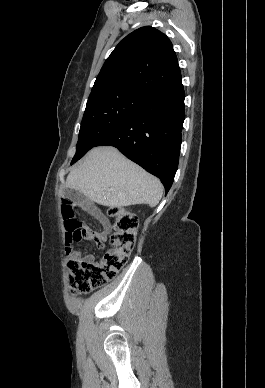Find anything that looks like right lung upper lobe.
<instances>
[{
    "mask_svg": "<svg viewBox=\"0 0 265 388\" xmlns=\"http://www.w3.org/2000/svg\"><path fill=\"white\" fill-rule=\"evenodd\" d=\"M181 79L171 41L159 30L145 26L116 46L98 74L91 94L123 91L147 97Z\"/></svg>",
    "mask_w": 265,
    "mask_h": 388,
    "instance_id": "1",
    "label": "right lung upper lobe"
}]
</instances>
